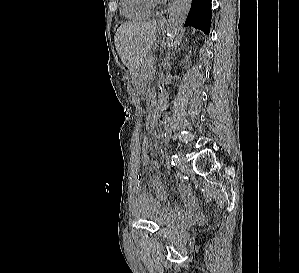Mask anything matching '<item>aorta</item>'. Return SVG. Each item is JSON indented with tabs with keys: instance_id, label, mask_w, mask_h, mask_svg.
<instances>
[{
	"instance_id": "obj_1",
	"label": "aorta",
	"mask_w": 299,
	"mask_h": 273,
	"mask_svg": "<svg viewBox=\"0 0 299 273\" xmlns=\"http://www.w3.org/2000/svg\"><path fill=\"white\" fill-rule=\"evenodd\" d=\"M192 0H174L171 3L168 17V37L175 40L183 28L185 19L190 10Z\"/></svg>"
}]
</instances>
